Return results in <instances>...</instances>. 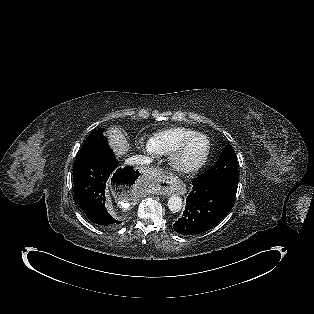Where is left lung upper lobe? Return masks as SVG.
Wrapping results in <instances>:
<instances>
[{
	"label": "left lung upper lobe",
	"mask_w": 314,
	"mask_h": 314,
	"mask_svg": "<svg viewBox=\"0 0 314 314\" xmlns=\"http://www.w3.org/2000/svg\"><path fill=\"white\" fill-rule=\"evenodd\" d=\"M200 176L204 177H238L237 157L233 147L228 144L217 162Z\"/></svg>",
	"instance_id": "5c2ea615"
}]
</instances>
